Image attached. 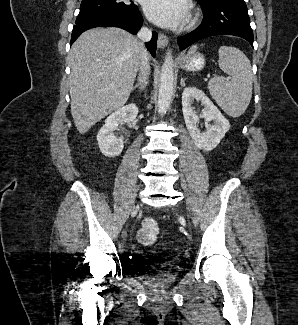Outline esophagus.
Instances as JSON below:
<instances>
[{"instance_id": "1", "label": "esophagus", "mask_w": 298, "mask_h": 325, "mask_svg": "<svg viewBox=\"0 0 298 325\" xmlns=\"http://www.w3.org/2000/svg\"><path fill=\"white\" fill-rule=\"evenodd\" d=\"M168 42L169 41L166 35H164L163 33L158 34V41H157L158 48L165 49L166 53H169Z\"/></svg>"}]
</instances>
